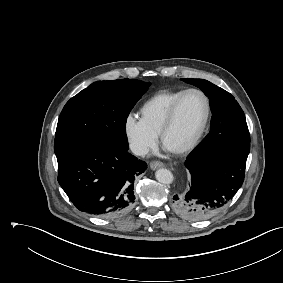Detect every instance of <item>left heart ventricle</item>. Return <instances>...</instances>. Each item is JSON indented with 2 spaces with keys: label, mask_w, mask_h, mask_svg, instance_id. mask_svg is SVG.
<instances>
[{
  "label": "left heart ventricle",
  "mask_w": 283,
  "mask_h": 283,
  "mask_svg": "<svg viewBox=\"0 0 283 283\" xmlns=\"http://www.w3.org/2000/svg\"><path fill=\"white\" fill-rule=\"evenodd\" d=\"M204 116V99L196 93L187 95L178 109L172 127L165 135V147L175 151L189 144L197 134Z\"/></svg>",
  "instance_id": "left-heart-ventricle-1"
}]
</instances>
